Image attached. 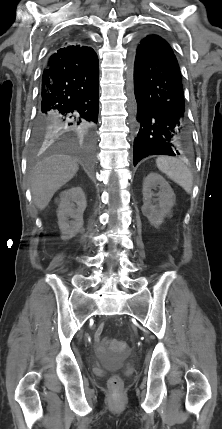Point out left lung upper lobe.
<instances>
[{"label": "left lung upper lobe", "instance_id": "1", "mask_svg": "<svg viewBox=\"0 0 222 429\" xmlns=\"http://www.w3.org/2000/svg\"><path fill=\"white\" fill-rule=\"evenodd\" d=\"M154 37V36H158V35H156V34H147V35H144L143 37H142V39H148L149 37Z\"/></svg>", "mask_w": 222, "mask_h": 429}]
</instances>
